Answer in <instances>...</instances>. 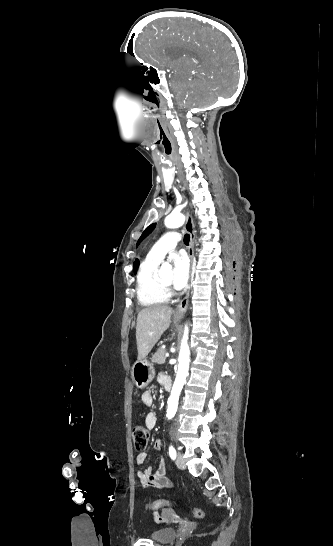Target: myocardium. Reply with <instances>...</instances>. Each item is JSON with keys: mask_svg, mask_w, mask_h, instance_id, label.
<instances>
[{"mask_svg": "<svg viewBox=\"0 0 333 546\" xmlns=\"http://www.w3.org/2000/svg\"><path fill=\"white\" fill-rule=\"evenodd\" d=\"M160 286L163 289V291L168 295L171 296L173 294V291L171 289L170 285L163 284L161 280H159Z\"/></svg>", "mask_w": 333, "mask_h": 546, "instance_id": "1", "label": "myocardium"}]
</instances>
